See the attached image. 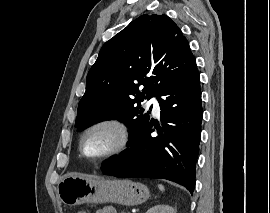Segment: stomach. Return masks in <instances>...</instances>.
<instances>
[{
    "label": "stomach",
    "instance_id": "obj_1",
    "mask_svg": "<svg viewBox=\"0 0 270 213\" xmlns=\"http://www.w3.org/2000/svg\"><path fill=\"white\" fill-rule=\"evenodd\" d=\"M57 193L61 202L69 206L105 202L130 206L141 204L150 196L141 183L77 173L66 174L57 185Z\"/></svg>",
    "mask_w": 270,
    "mask_h": 213
}]
</instances>
